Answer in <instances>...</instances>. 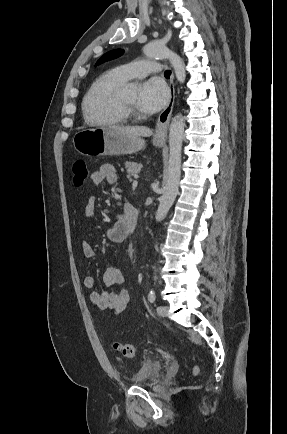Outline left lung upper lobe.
<instances>
[{"instance_id":"1","label":"left lung upper lobe","mask_w":287,"mask_h":434,"mask_svg":"<svg viewBox=\"0 0 287 434\" xmlns=\"http://www.w3.org/2000/svg\"><path fill=\"white\" fill-rule=\"evenodd\" d=\"M123 54V50H121V49H116V50H112V51H109V52H107V53H105L98 61H97V63H96V65H99V64H101V63H103V62H106V61H108V60H111V59H114V58H116V57H119L120 55H122Z\"/></svg>"}]
</instances>
